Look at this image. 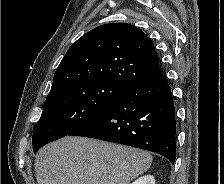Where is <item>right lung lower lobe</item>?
I'll return each instance as SVG.
<instances>
[{
	"label": "right lung lower lobe",
	"mask_w": 224,
	"mask_h": 184,
	"mask_svg": "<svg viewBox=\"0 0 224 184\" xmlns=\"http://www.w3.org/2000/svg\"><path fill=\"white\" fill-rule=\"evenodd\" d=\"M68 136L120 143L161 154L175 162L176 122L165 76L129 86L109 107Z\"/></svg>",
	"instance_id": "obj_1"
}]
</instances>
